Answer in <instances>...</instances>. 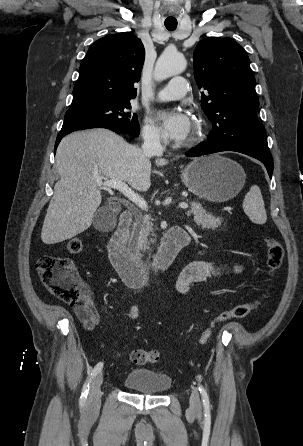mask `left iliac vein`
<instances>
[{
  "instance_id": "1",
  "label": "left iliac vein",
  "mask_w": 303,
  "mask_h": 446,
  "mask_svg": "<svg viewBox=\"0 0 303 446\" xmlns=\"http://www.w3.org/2000/svg\"><path fill=\"white\" fill-rule=\"evenodd\" d=\"M190 407L194 412H199L201 405L198 392L194 389L190 397Z\"/></svg>"
}]
</instances>
